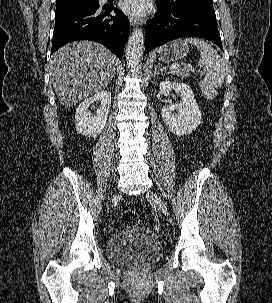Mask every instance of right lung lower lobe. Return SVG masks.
I'll use <instances>...</instances> for the list:
<instances>
[{
	"instance_id": "1",
	"label": "right lung lower lobe",
	"mask_w": 272,
	"mask_h": 303,
	"mask_svg": "<svg viewBox=\"0 0 272 303\" xmlns=\"http://www.w3.org/2000/svg\"><path fill=\"white\" fill-rule=\"evenodd\" d=\"M111 11L116 16L108 19ZM129 33V20L117 8L103 6L71 12L55 17L51 53L72 41L92 40L103 44L122 59Z\"/></svg>"
}]
</instances>
